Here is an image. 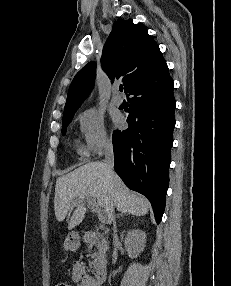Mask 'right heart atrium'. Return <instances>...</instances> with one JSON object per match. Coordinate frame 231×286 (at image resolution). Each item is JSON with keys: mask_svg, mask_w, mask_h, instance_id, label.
<instances>
[{"mask_svg": "<svg viewBox=\"0 0 231 286\" xmlns=\"http://www.w3.org/2000/svg\"><path fill=\"white\" fill-rule=\"evenodd\" d=\"M86 152L99 154L111 145L103 115L94 108H87L77 117Z\"/></svg>", "mask_w": 231, "mask_h": 286, "instance_id": "d8ad5b80", "label": "right heart atrium"}]
</instances>
